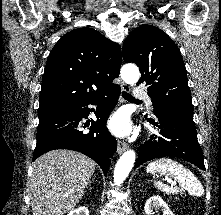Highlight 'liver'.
I'll list each match as a JSON object with an SVG mask.
<instances>
[{"instance_id": "obj_1", "label": "liver", "mask_w": 221, "mask_h": 215, "mask_svg": "<svg viewBox=\"0 0 221 215\" xmlns=\"http://www.w3.org/2000/svg\"><path fill=\"white\" fill-rule=\"evenodd\" d=\"M96 163L72 150H52L33 163L30 199L33 215H64L82 199Z\"/></svg>"}]
</instances>
